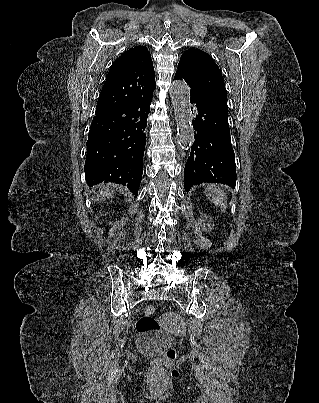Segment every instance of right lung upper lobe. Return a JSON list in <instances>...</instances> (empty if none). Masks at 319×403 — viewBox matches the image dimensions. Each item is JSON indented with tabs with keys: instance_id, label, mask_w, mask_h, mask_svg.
Segmentation results:
<instances>
[{
	"instance_id": "right-lung-upper-lobe-1",
	"label": "right lung upper lobe",
	"mask_w": 319,
	"mask_h": 403,
	"mask_svg": "<svg viewBox=\"0 0 319 403\" xmlns=\"http://www.w3.org/2000/svg\"><path fill=\"white\" fill-rule=\"evenodd\" d=\"M155 87L150 52L144 46L130 48L111 66L95 113L123 108L150 98Z\"/></svg>"
}]
</instances>
